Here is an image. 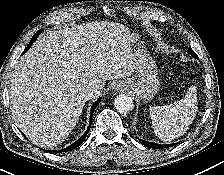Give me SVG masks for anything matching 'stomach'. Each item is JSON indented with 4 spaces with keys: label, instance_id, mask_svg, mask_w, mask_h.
<instances>
[{
    "label": "stomach",
    "instance_id": "stomach-1",
    "mask_svg": "<svg viewBox=\"0 0 224 175\" xmlns=\"http://www.w3.org/2000/svg\"><path fill=\"white\" fill-rule=\"evenodd\" d=\"M130 44L133 46L135 72L131 78L121 81L120 84H126L127 89L138 97L151 100L160 88L155 60L137 37L132 36Z\"/></svg>",
    "mask_w": 224,
    "mask_h": 175
}]
</instances>
